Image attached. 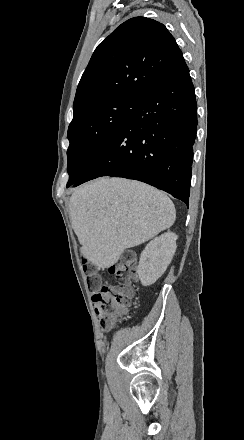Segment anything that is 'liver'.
Listing matches in <instances>:
<instances>
[{"mask_svg":"<svg viewBox=\"0 0 244 440\" xmlns=\"http://www.w3.org/2000/svg\"><path fill=\"white\" fill-rule=\"evenodd\" d=\"M69 210L81 254L98 268L114 266L126 248L148 242L176 220L174 204L165 192L108 176L77 188Z\"/></svg>","mask_w":244,"mask_h":440,"instance_id":"6515ba94","label":"liver"}]
</instances>
